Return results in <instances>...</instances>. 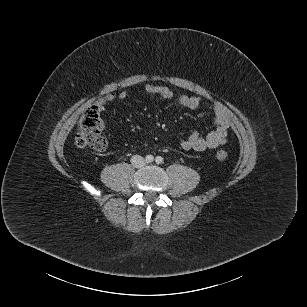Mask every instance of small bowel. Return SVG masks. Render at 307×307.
<instances>
[{"label": "small bowel", "instance_id": "1", "mask_svg": "<svg viewBox=\"0 0 307 307\" xmlns=\"http://www.w3.org/2000/svg\"><path fill=\"white\" fill-rule=\"evenodd\" d=\"M144 92L150 95H156L163 99L173 97V92L166 86L149 84L144 87ZM127 92L119 94L109 93L106 96L99 98L95 106L102 112L105 106L113 103L115 100H123L127 98ZM178 102L183 107L189 109H198L202 105L200 98L182 94L178 97ZM213 115L214 129L206 136H201L198 132L191 133L186 139L181 142V147L184 150H193L203 152L208 149H216L217 147L226 144L230 122L223 110L216 104L210 107Z\"/></svg>", "mask_w": 307, "mask_h": 307}]
</instances>
